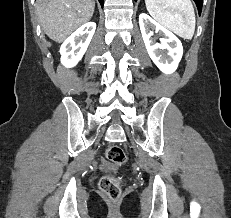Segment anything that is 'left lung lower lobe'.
<instances>
[{
  "instance_id": "0a47b994",
  "label": "left lung lower lobe",
  "mask_w": 231,
  "mask_h": 218,
  "mask_svg": "<svg viewBox=\"0 0 231 218\" xmlns=\"http://www.w3.org/2000/svg\"><path fill=\"white\" fill-rule=\"evenodd\" d=\"M137 1V0H135ZM196 5H197V8H198V12H199V15L201 14V10H202V2L203 0H194Z\"/></svg>"
}]
</instances>
